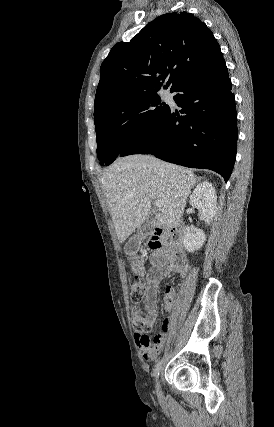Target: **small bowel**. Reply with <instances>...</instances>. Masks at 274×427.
Returning <instances> with one entry per match:
<instances>
[{"instance_id": "c3829d8e", "label": "small bowel", "mask_w": 274, "mask_h": 427, "mask_svg": "<svg viewBox=\"0 0 274 427\" xmlns=\"http://www.w3.org/2000/svg\"><path fill=\"white\" fill-rule=\"evenodd\" d=\"M154 249L155 251L150 256V269L145 275L146 286L143 300L146 318L150 324H153L159 317L157 291L160 281L171 273L184 277L190 270L185 249L179 248L175 242ZM173 304L172 291L168 290L164 297V307L166 310H171ZM173 325L172 317L164 318L161 325L162 332L153 340L146 334L136 333L135 340L144 360L151 361L159 355Z\"/></svg>"}]
</instances>
